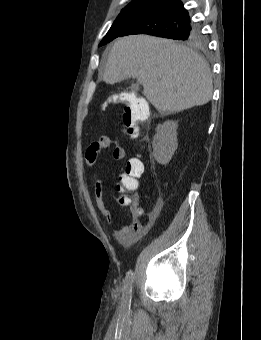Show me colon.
<instances>
[{"label": "colon", "instance_id": "1", "mask_svg": "<svg viewBox=\"0 0 261 340\" xmlns=\"http://www.w3.org/2000/svg\"><path fill=\"white\" fill-rule=\"evenodd\" d=\"M108 105L105 104L104 107ZM149 115V108L144 100L131 98L124 103L122 119L129 136L136 137L140 133V123L145 121ZM144 170L143 163L138 158H132L126 166V174L120 179L118 190L121 194L117 197V202L122 207L132 206L131 198L125 194L137 187V178Z\"/></svg>", "mask_w": 261, "mask_h": 340}]
</instances>
